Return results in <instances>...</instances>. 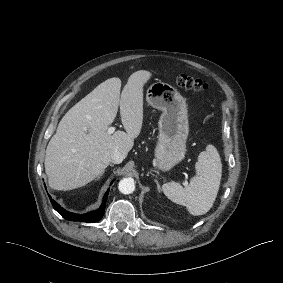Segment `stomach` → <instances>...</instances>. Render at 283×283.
<instances>
[{"instance_id": "obj_1", "label": "stomach", "mask_w": 283, "mask_h": 283, "mask_svg": "<svg viewBox=\"0 0 283 283\" xmlns=\"http://www.w3.org/2000/svg\"><path fill=\"white\" fill-rule=\"evenodd\" d=\"M146 101L162 111L155 157L156 167L168 171L185 157L189 133L186 100L173 86L156 82L147 89Z\"/></svg>"}]
</instances>
